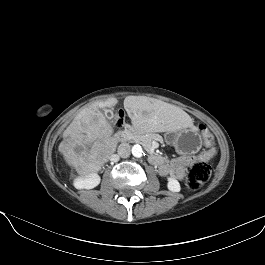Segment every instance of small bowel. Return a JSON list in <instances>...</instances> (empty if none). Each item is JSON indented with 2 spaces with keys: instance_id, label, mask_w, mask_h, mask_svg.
Listing matches in <instances>:
<instances>
[{
  "instance_id": "small-bowel-1",
  "label": "small bowel",
  "mask_w": 265,
  "mask_h": 265,
  "mask_svg": "<svg viewBox=\"0 0 265 265\" xmlns=\"http://www.w3.org/2000/svg\"><path fill=\"white\" fill-rule=\"evenodd\" d=\"M216 153L214 145H208V149L200 152L197 155H181L174 159L164 158V163L158 166V172L161 176H173L176 179H182L187 168L193 165L196 161H208Z\"/></svg>"
}]
</instances>
